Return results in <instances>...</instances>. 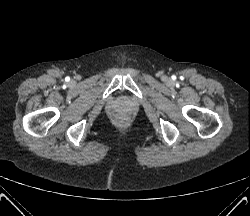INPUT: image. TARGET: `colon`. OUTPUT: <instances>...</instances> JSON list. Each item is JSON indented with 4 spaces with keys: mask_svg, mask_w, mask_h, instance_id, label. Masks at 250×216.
I'll list each match as a JSON object with an SVG mask.
<instances>
[{
    "mask_svg": "<svg viewBox=\"0 0 250 216\" xmlns=\"http://www.w3.org/2000/svg\"><path fill=\"white\" fill-rule=\"evenodd\" d=\"M119 121L121 122V121H123V119H122V118H119Z\"/></svg>",
    "mask_w": 250,
    "mask_h": 216,
    "instance_id": "5ec220e1",
    "label": "colon"
}]
</instances>
